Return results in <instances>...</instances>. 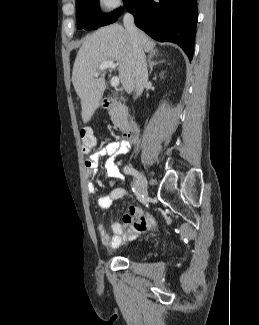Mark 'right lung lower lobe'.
I'll return each mask as SVG.
<instances>
[{"instance_id": "right-lung-lower-lobe-1", "label": "right lung lower lobe", "mask_w": 259, "mask_h": 325, "mask_svg": "<svg viewBox=\"0 0 259 325\" xmlns=\"http://www.w3.org/2000/svg\"><path fill=\"white\" fill-rule=\"evenodd\" d=\"M125 7L137 27L158 41L178 44L192 59L197 0H126Z\"/></svg>"}]
</instances>
